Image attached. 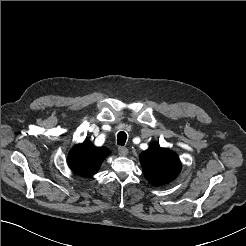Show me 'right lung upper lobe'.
<instances>
[{"instance_id": "obj_1", "label": "right lung upper lobe", "mask_w": 246, "mask_h": 246, "mask_svg": "<svg viewBox=\"0 0 246 246\" xmlns=\"http://www.w3.org/2000/svg\"><path fill=\"white\" fill-rule=\"evenodd\" d=\"M108 154L107 148L96 147L92 142L84 141L70 151L68 164L75 173L92 176L97 173Z\"/></svg>"}]
</instances>
